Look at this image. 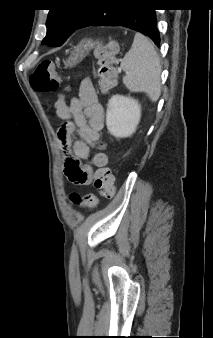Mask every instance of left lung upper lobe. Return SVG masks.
<instances>
[{
    "label": "left lung upper lobe",
    "instance_id": "5c2ea615",
    "mask_svg": "<svg viewBox=\"0 0 213 338\" xmlns=\"http://www.w3.org/2000/svg\"><path fill=\"white\" fill-rule=\"evenodd\" d=\"M107 0H52L43 44L61 46L83 19L101 2Z\"/></svg>",
    "mask_w": 213,
    "mask_h": 338
}]
</instances>
